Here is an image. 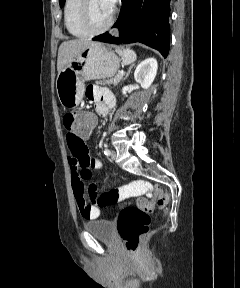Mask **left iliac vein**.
<instances>
[{"label": "left iliac vein", "instance_id": "1", "mask_svg": "<svg viewBox=\"0 0 240 288\" xmlns=\"http://www.w3.org/2000/svg\"><path fill=\"white\" fill-rule=\"evenodd\" d=\"M116 156H117V155H116V152H115V151H112V152H111V159H112V160H115V159H116Z\"/></svg>", "mask_w": 240, "mask_h": 288}]
</instances>
